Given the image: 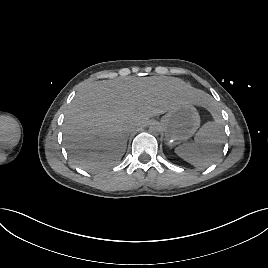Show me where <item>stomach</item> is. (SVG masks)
<instances>
[{"label": "stomach", "instance_id": "stomach-1", "mask_svg": "<svg viewBox=\"0 0 268 268\" xmlns=\"http://www.w3.org/2000/svg\"><path fill=\"white\" fill-rule=\"evenodd\" d=\"M161 123L168 140L185 141L199 128L200 116L193 104L187 103L168 111Z\"/></svg>", "mask_w": 268, "mask_h": 268}]
</instances>
